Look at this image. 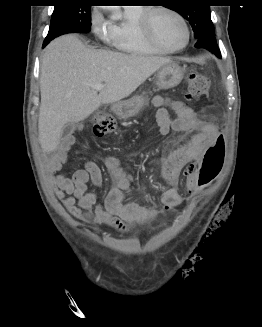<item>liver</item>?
Masks as SVG:
<instances>
[{
  "label": "liver",
  "instance_id": "liver-1",
  "mask_svg": "<svg viewBox=\"0 0 262 327\" xmlns=\"http://www.w3.org/2000/svg\"><path fill=\"white\" fill-rule=\"evenodd\" d=\"M172 63L167 57L90 49L75 35H64L45 49L40 74L39 142L57 149L63 128L86 119L101 104L128 97L153 73ZM103 84L98 91L95 84Z\"/></svg>",
  "mask_w": 262,
  "mask_h": 327
}]
</instances>
